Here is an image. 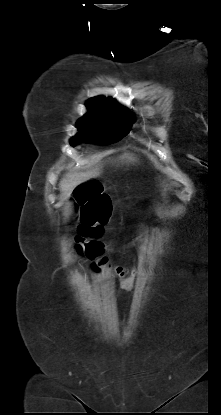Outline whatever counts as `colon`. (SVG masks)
I'll list each match as a JSON object with an SVG mask.
<instances>
[{
    "mask_svg": "<svg viewBox=\"0 0 221 415\" xmlns=\"http://www.w3.org/2000/svg\"><path fill=\"white\" fill-rule=\"evenodd\" d=\"M75 202L80 208L81 220L77 236L78 250H84L90 256L99 255L103 251V246L96 240L103 234L104 225L110 217V201L97 185L90 184L77 191ZM99 262L105 273L114 274L109 276V281L119 283L118 288L124 294H129L135 289L138 267H132L128 274L123 263L108 266L107 256H100Z\"/></svg>",
    "mask_w": 221,
    "mask_h": 415,
    "instance_id": "obj_1",
    "label": "colon"
}]
</instances>
